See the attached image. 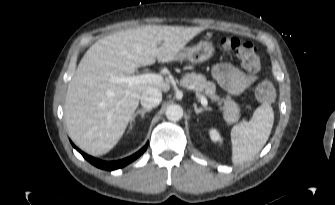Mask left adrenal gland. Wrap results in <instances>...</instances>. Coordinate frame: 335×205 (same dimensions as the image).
Listing matches in <instances>:
<instances>
[{"mask_svg":"<svg viewBox=\"0 0 335 205\" xmlns=\"http://www.w3.org/2000/svg\"><path fill=\"white\" fill-rule=\"evenodd\" d=\"M194 110H195V113L198 115L200 113H202L203 111H208V110H211L210 107H197V105L195 104L194 105Z\"/></svg>","mask_w":335,"mask_h":205,"instance_id":"obj_1","label":"left adrenal gland"}]
</instances>
